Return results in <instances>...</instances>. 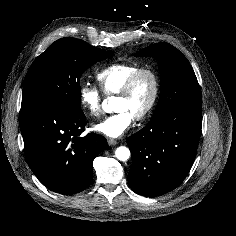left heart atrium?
<instances>
[{
	"label": "left heart atrium",
	"mask_w": 236,
	"mask_h": 236,
	"mask_svg": "<svg viewBox=\"0 0 236 236\" xmlns=\"http://www.w3.org/2000/svg\"><path fill=\"white\" fill-rule=\"evenodd\" d=\"M134 119V116L128 111L120 110L94 125V129L109 137L116 138L123 135L131 127Z\"/></svg>",
	"instance_id": "left-heart-atrium-1"
}]
</instances>
